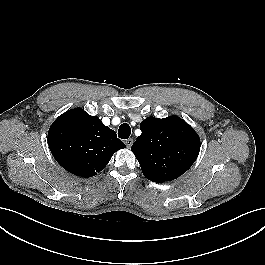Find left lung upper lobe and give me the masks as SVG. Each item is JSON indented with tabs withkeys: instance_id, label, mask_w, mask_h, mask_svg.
Here are the masks:
<instances>
[{
	"instance_id": "obj_1",
	"label": "left lung upper lobe",
	"mask_w": 265,
	"mask_h": 265,
	"mask_svg": "<svg viewBox=\"0 0 265 265\" xmlns=\"http://www.w3.org/2000/svg\"><path fill=\"white\" fill-rule=\"evenodd\" d=\"M140 129L142 134L131 150L147 179L157 183L174 180L197 159L199 136L181 118L148 117L140 123Z\"/></svg>"
}]
</instances>
